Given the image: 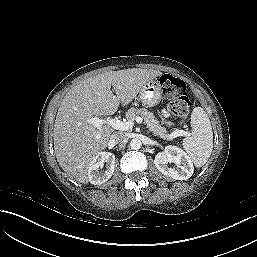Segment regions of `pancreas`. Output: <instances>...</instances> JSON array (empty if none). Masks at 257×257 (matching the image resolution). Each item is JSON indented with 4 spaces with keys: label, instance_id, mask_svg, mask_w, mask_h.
<instances>
[{
    "label": "pancreas",
    "instance_id": "pancreas-1",
    "mask_svg": "<svg viewBox=\"0 0 257 257\" xmlns=\"http://www.w3.org/2000/svg\"><path fill=\"white\" fill-rule=\"evenodd\" d=\"M137 116H141L147 125V128L154 134V136H159L162 139L170 140V137L167 134L166 128L162 127L153 115V113L149 112L145 108H130L126 112V118L128 121H133Z\"/></svg>",
    "mask_w": 257,
    "mask_h": 257
}]
</instances>
